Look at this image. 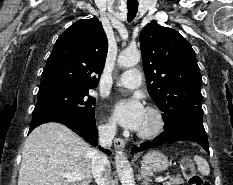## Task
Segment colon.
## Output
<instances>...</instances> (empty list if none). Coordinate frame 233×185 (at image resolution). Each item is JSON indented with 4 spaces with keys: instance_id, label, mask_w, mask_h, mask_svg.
<instances>
[{
    "instance_id": "1",
    "label": "colon",
    "mask_w": 233,
    "mask_h": 185,
    "mask_svg": "<svg viewBox=\"0 0 233 185\" xmlns=\"http://www.w3.org/2000/svg\"><path fill=\"white\" fill-rule=\"evenodd\" d=\"M182 171L188 185H207L203 177L197 173L193 162L185 159L182 163Z\"/></svg>"
}]
</instances>
